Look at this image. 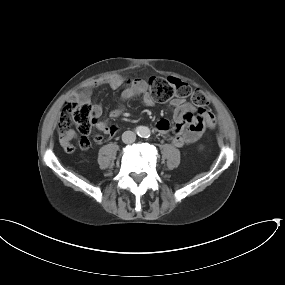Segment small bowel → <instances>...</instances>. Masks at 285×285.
I'll return each mask as SVG.
<instances>
[{"mask_svg":"<svg viewBox=\"0 0 285 285\" xmlns=\"http://www.w3.org/2000/svg\"><path fill=\"white\" fill-rule=\"evenodd\" d=\"M123 84V78L119 75H108L89 81L84 88L76 90L70 100L90 101L95 89L102 85H109L113 89H118ZM139 98L141 103L146 107H153L155 101L151 96L147 82L142 78H136L132 84L122 92V100L124 102ZM174 108V121L171 122L167 118H160L156 121V130L163 135L175 147H185L197 141L202 135L206 120L212 115L210 111L196 108L185 99H174L171 102ZM124 105H120L110 112V117L115 118L123 114ZM103 108L100 104L93 106L94 128L100 132L113 137L119 131L116 124H108L101 119ZM185 129V133L181 131ZM73 135V133H72ZM78 145L82 150H88L91 143L88 139H79ZM65 149L69 153H75L78 147L75 144L65 145Z\"/></svg>","mask_w":285,"mask_h":285,"instance_id":"1","label":"small bowel"}]
</instances>
